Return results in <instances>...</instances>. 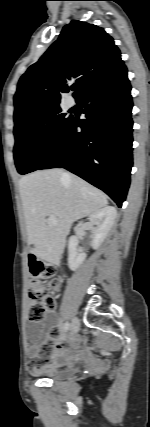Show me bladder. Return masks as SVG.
<instances>
[{
  "label": "bladder",
  "instance_id": "31cf9c89",
  "mask_svg": "<svg viewBox=\"0 0 150 427\" xmlns=\"http://www.w3.org/2000/svg\"><path fill=\"white\" fill-rule=\"evenodd\" d=\"M76 373L75 366L65 356H60L49 366L48 378L53 381H62L71 378Z\"/></svg>",
  "mask_w": 150,
  "mask_h": 427
}]
</instances>
